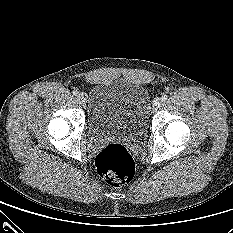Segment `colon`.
Returning <instances> with one entry per match:
<instances>
[{"label":"colon","mask_w":233,"mask_h":233,"mask_svg":"<svg viewBox=\"0 0 233 233\" xmlns=\"http://www.w3.org/2000/svg\"><path fill=\"white\" fill-rule=\"evenodd\" d=\"M96 167L101 177L116 187L126 184L134 174L133 158L119 143H110L98 153Z\"/></svg>","instance_id":"colon-1"}]
</instances>
